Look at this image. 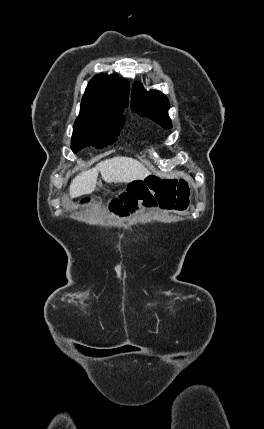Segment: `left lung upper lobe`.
<instances>
[{
  "label": "left lung upper lobe",
  "mask_w": 264,
  "mask_h": 429,
  "mask_svg": "<svg viewBox=\"0 0 264 429\" xmlns=\"http://www.w3.org/2000/svg\"><path fill=\"white\" fill-rule=\"evenodd\" d=\"M132 108L143 116H149L164 128L172 127L168 116L169 102L164 94L151 90L147 92L140 83L132 89Z\"/></svg>",
  "instance_id": "5c2ea615"
}]
</instances>
